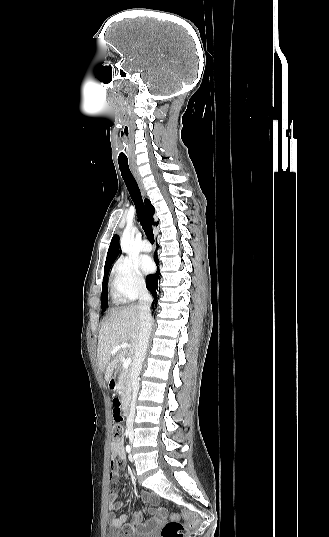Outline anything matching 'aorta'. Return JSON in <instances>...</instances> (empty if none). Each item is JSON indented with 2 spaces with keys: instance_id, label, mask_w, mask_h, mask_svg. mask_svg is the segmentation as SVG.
I'll return each instance as SVG.
<instances>
[{
  "instance_id": "obj_1",
  "label": "aorta",
  "mask_w": 329,
  "mask_h": 537,
  "mask_svg": "<svg viewBox=\"0 0 329 537\" xmlns=\"http://www.w3.org/2000/svg\"><path fill=\"white\" fill-rule=\"evenodd\" d=\"M131 231L132 227L131 225H127L126 228L123 231L122 237H121V249L123 252L127 253L129 251V246L131 243Z\"/></svg>"
}]
</instances>
